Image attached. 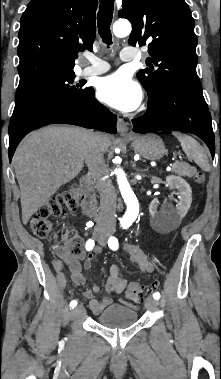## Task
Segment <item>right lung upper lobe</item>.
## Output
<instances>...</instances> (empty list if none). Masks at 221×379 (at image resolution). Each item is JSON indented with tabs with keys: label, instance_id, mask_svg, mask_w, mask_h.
<instances>
[{
	"label": "right lung upper lobe",
	"instance_id": "cb5924a9",
	"mask_svg": "<svg viewBox=\"0 0 221 379\" xmlns=\"http://www.w3.org/2000/svg\"><path fill=\"white\" fill-rule=\"evenodd\" d=\"M97 0H31L20 21V81L73 71L77 53L92 50Z\"/></svg>",
	"mask_w": 221,
	"mask_h": 379
}]
</instances>
